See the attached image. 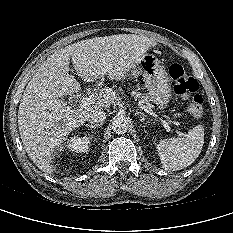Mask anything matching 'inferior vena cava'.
I'll list each match as a JSON object with an SVG mask.
<instances>
[{"label":"inferior vena cava","mask_w":233,"mask_h":233,"mask_svg":"<svg viewBox=\"0 0 233 233\" xmlns=\"http://www.w3.org/2000/svg\"><path fill=\"white\" fill-rule=\"evenodd\" d=\"M106 119V113L100 109L93 110L87 117L90 123H103Z\"/></svg>","instance_id":"obj_1"}]
</instances>
